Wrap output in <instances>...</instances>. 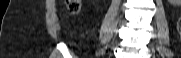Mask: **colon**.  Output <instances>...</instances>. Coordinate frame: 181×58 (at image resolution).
Segmentation results:
<instances>
[{
  "mask_svg": "<svg viewBox=\"0 0 181 58\" xmlns=\"http://www.w3.org/2000/svg\"><path fill=\"white\" fill-rule=\"evenodd\" d=\"M66 6L71 14H76L79 12L81 4L79 0H67ZM178 31L181 37V18L178 21Z\"/></svg>",
  "mask_w": 181,
  "mask_h": 58,
  "instance_id": "5ec220e1",
  "label": "colon"
}]
</instances>
